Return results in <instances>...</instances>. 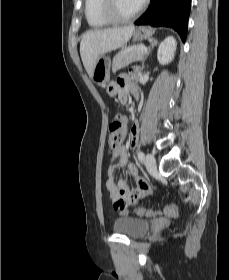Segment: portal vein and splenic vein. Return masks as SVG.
<instances>
[{"label":"portal vein and splenic vein","mask_w":229,"mask_h":280,"mask_svg":"<svg viewBox=\"0 0 229 280\" xmlns=\"http://www.w3.org/2000/svg\"><path fill=\"white\" fill-rule=\"evenodd\" d=\"M138 51L142 52V53H145L147 51V48L144 47V46H141Z\"/></svg>","instance_id":"obj_1"}]
</instances>
